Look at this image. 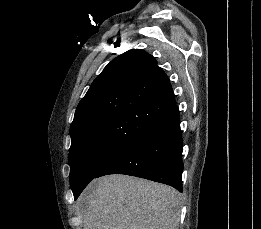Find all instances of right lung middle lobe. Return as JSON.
<instances>
[{
    "mask_svg": "<svg viewBox=\"0 0 261 229\" xmlns=\"http://www.w3.org/2000/svg\"><path fill=\"white\" fill-rule=\"evenodd\" d=\"M146 133L147 131L141 132L139 137ZM129 147L92 142L71 145L69 153L70 184L74 198L77 199L87 184Z\"/></svg>",
    "mask_w": 261,
    "mask_h": 229,
    "instance_id": "dd1d6c3e",
    "label": "right lung middle lobe"
}]
</instances>
